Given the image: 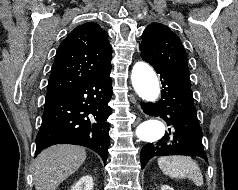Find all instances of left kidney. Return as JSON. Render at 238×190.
Segmentation results:
<instances>
[{"label": "left kidney", "instance_id": "obj_1", "mask_svg": "<svg viewBox=\"0 0 238 190\" xmlns=\"http://www.w3.org/2000/svg\"><path fill=\"white\" fill-rule=\"evenodd\" d=\"M161 190H174L172 187H169L168 185H162Z\"/></svg>", "mask_w": 238, "mask_h": 190}]
</instances>
